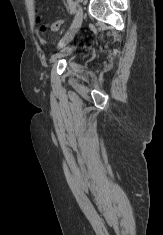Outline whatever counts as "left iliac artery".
<instances>
[{"mask_svg": "<svg viewBox=\"0 0 163 235\" xmlns=\"http://www.w3.org/2000/svg\"><path fill=\"white\" fill-rule=\"evenodd\" d=\"M68 1V4H69V8H70V11L72 14H74L76 8H75V4L72 0H67Z\"/></svg>", "mask_w": 163, "mask_h": 235, "instance_id": "obj_1", "label": "left iliac artery"}]
</instances>
